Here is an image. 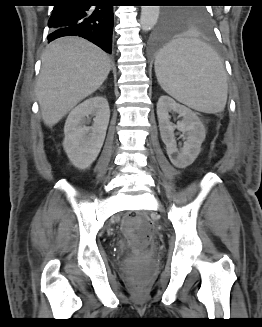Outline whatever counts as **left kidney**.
I'll return each mask as SVG.
<instances>
[{
	"instance_id": "obj_1",
	"label": "left kidney",
	"mask_w": 262,
	"mask_h": 327,
	"mask_svg": "<svg viewBox=\"0 0 262 327\" xmlns=\"http://www.w3.org/2000/svg\"><path fill=\"white\" fill-rule=\"evenodd\" d=\"M178 113L183 120L173 126L169 112ZM157 116L162 141L171 163L177 168H186L191 165L201 151V144L205 140L206 130L197 114L184 105L176 103L171 97L163 95L157 103ZM177 128L186 134V141L179 151L174 137Z\"/></svg>"
}]
</instances>
